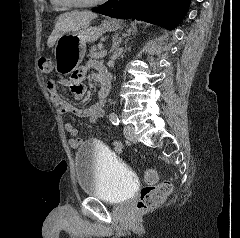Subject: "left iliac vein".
Wrapping results in <instances>:
<instances>
[{
	"label": "left iliac vein",
	"mask_w": 240,
	"mask_h": 238,
	"mask_svg": "<svg viewBox=\"0 0 240 238\" xmlns=\"http://www.w3.org/2000/svg\"><path fill=\"white\" fill-rule=\"evenodd\" d=\"M124 136L127 140L131 142L136 141V136H135V129L132 125H126L123 129Z\"/></svg>",
	"instance_id": "4c4485c4"
}]
</instances>
